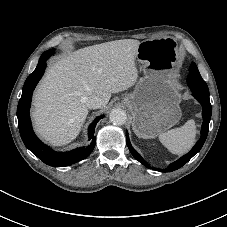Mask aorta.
Listing matches in <instances>:
<instances>
[{
	"instance_id": "1",
	"label": "aorta",
	"mask_w": 227,
	"mask_h": 227,
	"mask_svg": "<svg viewBox=\"0 0 227 227\" xmlns=\"http://www.w3.org/2000/svg\"><path fill=\"white\" fill-rule=\"evenodd\" d=\"M109 119L114 125H123L127 121V114L123 109L115 108L110 112Z\"/></svg>"
}]
</instances>
